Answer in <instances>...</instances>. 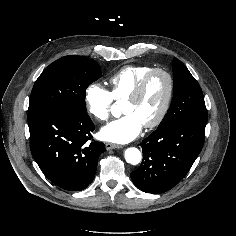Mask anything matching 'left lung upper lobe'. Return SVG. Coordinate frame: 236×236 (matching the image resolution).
<instances>
[{"label": "left lung upper lobe", "mask_w": 236, "mask_h": 236, "mask_svg": "<svg viewBox=\"0 0 236 236\" xmlns=\"http://www.w3.org/2000/svg\"><path fill=\"white\" fill-rule=\"evenodd\" d=\"M174 96L158 129L178 122L206 124L208 114L200 85L186 66L177 58L173 60Z\"/></svg>", "instance_id": "obj_1"}]
</instances>
